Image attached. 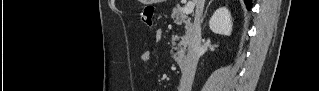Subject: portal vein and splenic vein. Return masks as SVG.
Returning a JSON list of instances; mask_svg holds the SVG:
<instances>
[{
	"mask_svg": "<svg viewBox=\"0 0 319 91\" xmlns=\"http://www.w3.org/2000/svg\"><path fill=\"white\" fill-rule=\"evenodd\" d=\"M195 4L193 2H188L182 9L183 14L189 15L193 12Z\"/></svg>",
	"mask_w": 319,
	"mask_h": 91,
	"instance_id": "1",
	"label": "portal vein and splenic vein"
}]
</instances>
